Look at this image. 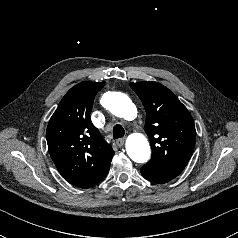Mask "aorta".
Segmentation results:
<instances>
[{"label": "aorta", "instance_id": "762f6f07", "mask_svg": "<svg viewBox=\"0 0 238 238\" xmlns=\"http://www.w3.org/2000/svg\"><path fill=\"white\" fill-rule=\"evenodd\" d=\"M104 106L115 116L125 120H133L137 111L130 98L120 92H109L104 95ZM128 156L137 163L147 162L150 158V146L146 137L135 133L130 135L126 141Z\"/></svg>", "mask_w": 238, "mask_h": 238}]
</instances>
